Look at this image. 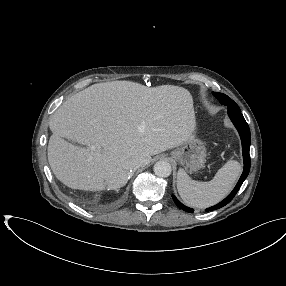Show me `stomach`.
Here are the masks:
<instances>
[{
	"label": "stomach",
	"mask_w": 286,
	"mask_h": 286,
	"mask_svg": "<svg viewBox=\"0 0 286 286\" xmlns=\"http://www.w3.org/2000/svg\"><path fill=\"white\" fill-rule=\"evenodd\" d=\"M171 156L189 173L200 170L206 159V148L199 139H193L172 151Z\"/></svg>",
	"instance_id": "0dacf381"
}]
</instances>
